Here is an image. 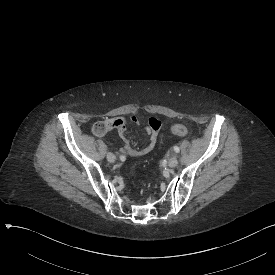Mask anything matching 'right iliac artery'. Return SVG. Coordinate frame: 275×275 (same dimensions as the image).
<instances>
[{
    "instance_id": "1",
    "label": "right iliac artery",
    "mask_w": 275,
    "mask_h": 275,
    "mask_svg": "<svg viewBox=\"0 0 275 275\" xmlns=\"http://www.w3.org/2000/svg\"><path fill=\"white\" fill-rule=\"evenodd\" d=\"M125 159H126L125 156H120L121 161H125Z\"/></svg>"
}]
</instances>
